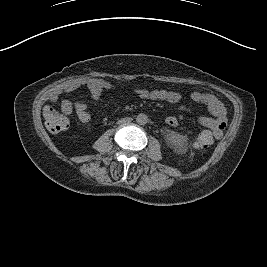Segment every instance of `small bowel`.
Listing matches in <instances>:
<instances>
[{"label": "small bowel", "mask_w": 267, "mask_h": 267, "mask_svg": "<svg viewBox=\"0 0 267 267\" xmlns=\"http://www.w3.org/2000/svg\"><path fill=\"white\" fill-rule=\"evenodd\" d=\"M82 86L88 89L90 97L93 100H98L103 90L112 88L113 84L98 78L73 80L65 85L62 92L69 93ZM136 93L142 99L153 101L160 100L169 103H178L182 99V94L174 90L156 89L148 91L145 89H137ZM55 99H57V97H55ZM189 99L193 103L205 106L211 113V116H201L197 118L198 124L208 129L199 134L207 137L210 144H212L214 140L220 139L227 125L226 109L222 102L215 95L200 91L191 92L189 94ZM61 110L68 115L75 111L78 119L82 123H88L91 119V113L87 104L81 100H76L74 103L69 100H63L61 102ZM165 121L167 125L171 127H176L178 125V119L175 116H168Z\"/></svg>", "instance_id": "small-bowel-1"}]
</instances>
